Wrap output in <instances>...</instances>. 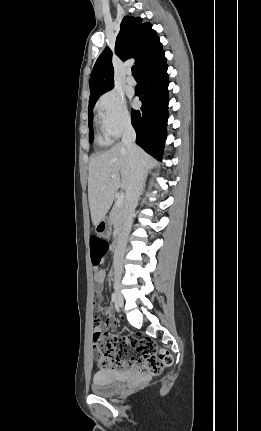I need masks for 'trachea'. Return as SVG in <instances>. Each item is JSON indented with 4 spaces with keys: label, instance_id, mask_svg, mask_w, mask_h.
Listing matches in <instances>:
<instances>
[{
    "label": "trachea",
    "instance_id": "3493384b",
    "mask_svg": "<svg viewBox=\"0 0 261 431\" xmlns=\"http://www.w3.org/2000/svg\"><path fill=\"white\" fill-rule=\"evenodd\" d=\"M132 75L133 76H139L137 66H135V65L132 67Z\"/></svg>",
    "mask_w": 261,
    "mask_h": 431
}]
</instances>
